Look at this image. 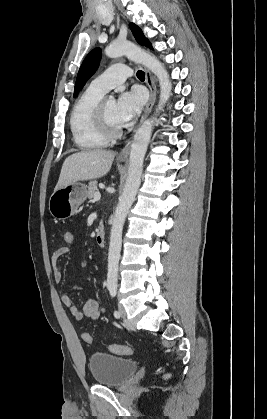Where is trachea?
<instances>
[{
	"label": "trachea",
	"instance_id": "1",
	"mask_svg": "<svg viewBox=\"0 0 267 419\" xmlns=\"http://www.w3.org/2000/svg\"><path fill=\"white\" fill-rule=\"evenodd\" d=\"M137 77L140 80H144L145 79V73L142 70L137 71Z\"/></svg>",
	"mask_w": 267,
	"mask_h": 419
}]
</instances>
